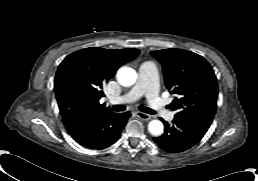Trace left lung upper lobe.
<instances>
[{"instance_id": "1", "label": "left lung upper lobe", "mask_w": 258, "mask_h": 181, "mask_svg": "<svg viewBox=\"0 0 258 181\" xmlns=\"http://www.w3.org/2000/svg\"><path fill=\"white\" fill-rule=\"evenodd\" d=\"M163 67L165 85L177 97L169 105L175 117L211 123L217 107L218 85L210 64L200 55L182 50L152 51Z\"/></svg>"}]
</instances>
